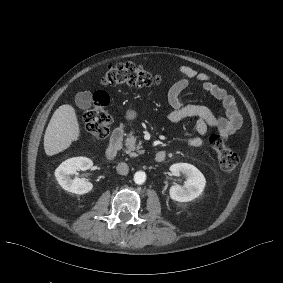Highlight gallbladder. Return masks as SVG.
Wrapping results in <instances>:
<instances>
[{"label":"gallbladder","mask_w":283,"mask_h":283,"mask_svg":"<svg viewBox=\"0 0 283 283\" xmlns=\"http://www.w3.org/2000/svg\"><path fill=\"white\" fill-rule=\"evenodd\" d=\"M92 93L90 91L79 92L75 96V103L81 110H88L92 107Z\"/></svg>","instance_id":"gallbladder-1"}]
</instances>
